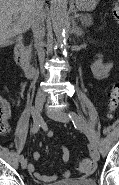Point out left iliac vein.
Instances as JSON below:
<instances>
[{
	"mask_svg": "<svg viewBox=\"0 0 119 185\" xmlns=\"http://www.w3.org/2000/svg\"><path fill=\"white\" fill-rule=\"evenodd\" d=\"M47 115L57 121L61 122H70L69 115L64 111H54V110H46ZM91 158L93 161L97 162L100 159L99 152L95 146L91 147Z\"/></svg>",
	"mask_w": 119,
	"mask_h": 185,
	"instance_id": "obj_1",
	"label": "left iliac vein"
}]
</instances>
